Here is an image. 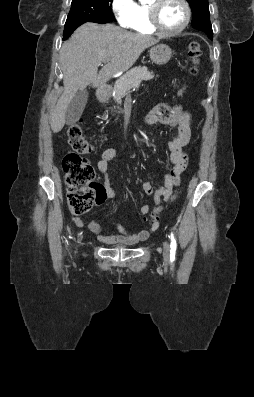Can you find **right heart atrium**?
Masks as SVG:
<instances>
[{
  "label": "right heart atrium",
  "instance_id": "right-heart-atrium-1",
  "mask_svg": "<svg viewBox=\"0 0 254 397\" xmlns=\"http://www.w3.org/2000/svg\"><path fill=\"white\" fill-rule=\"evenodd\" d=\"M111 8L118 24L123 28H130L136 13L134 0H112Z\"/></svg>",
  "mask_w": 254,
  "mask_h": 397
}]
</instances>
